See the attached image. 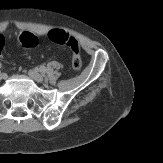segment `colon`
<instances>
[{"label":"colon","instance_id":"1","mask_svg":"<svg viewBox=\"0 0 163 163\" xmlns=\"http://www.w3.org/2000/svg\"><path fill=\"white\" fill-rule=\"evenodd\" d=\"M48 39L58 45L67 47L71 52V66L78 70L82 66L80 55V46L78 41L69 33L62 29H52L48 32ZM18 42L23 48H34L38 45V38L30 32H22L18 34ZM5 46V39L0 35V57Z\"/></svg>","mask_w":163,"mask_h":163}]
</instances>
